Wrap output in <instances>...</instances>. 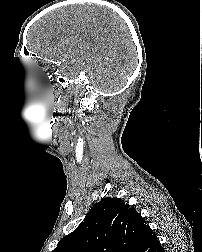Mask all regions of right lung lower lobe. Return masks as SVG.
<instances>
[{
	"label": "right lung lower lobe",
	"mask_w": 202,
	"mask_h": 252,
	"mask_svg": "<svg viewBox=\"0 0 202 252\" xmlns=\"http://www.w3.org/2000/svg\"><path fill=\"white\" fill-rule=\"evenodd\" d=\"M156 252H164V249L162 248V246H160V247L156 250Z\"/></svg>",
	"instance_id": "right-lung-lower-lobe-1"
}]
</instances>
